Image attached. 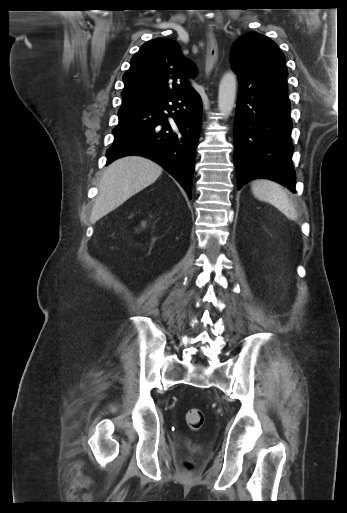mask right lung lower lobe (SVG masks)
Listing matches in <instances>:
<instances>
[{"instance_id": "right-lung-lower-lobe-1", "label": "right lung lower lobe", "mask_w": 347, "mask_h": 513, "mask_svg": "<svg viewBox=\"0 0 347 513\" xmlns=\"http://www.w3.org/2000/svg\"><path fill=\"white\" fill-rule=\"evenodd\" d=\"M202 103L195 90L119 111L107 164L126 155L147 157L165 168L191 198Z\"/></svg>"}]
</instances>
